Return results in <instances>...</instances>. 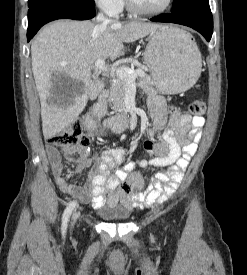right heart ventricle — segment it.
Masks as SVG:
<instances>
[{
	"label": "right heart ventricle",
	"mask_w": 247,
	"mask_h": 275,
	"mask_svg": "<svg viewBox=\"0 0 247 275\" xmlns=\"http://www.w3.org/2000/svg\"><path fill=\"white\" fill-rule=\"evenodd\" d=\"M124 5H125V2L123 1L122 8L124 7Z\"/></svg>",
	"instance_id": "1"
}]
</instances>
